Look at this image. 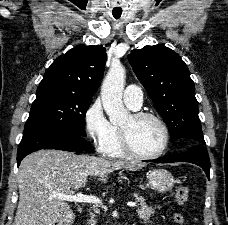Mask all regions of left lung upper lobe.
<instances>
[{
  "label": "left lung upper lobe",
  "instance_id": "1",
  "mask_svg": "<svg viewBox=\"0 0 228 225\" xmlns=\"http://www.w3.org/2000/svg\"><path fill=\"white\" fill-rule=\"evenodd\" d=\"M128 60L164 118L171 139L205 145L194 83L179 55L167 47L153 45L132 50Z\"/></svg>",
  "mask_w": 228,
  "mask_h": 225
}]
</instances>
